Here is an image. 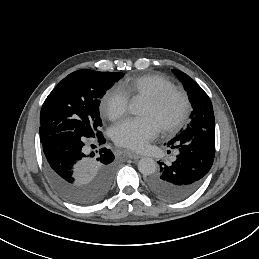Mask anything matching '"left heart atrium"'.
I'll list each match as a JSON object with an SVG mask.
<instances>
[{"instance_id": "1", "label": "left heart atrium", "mask_w": 259, "mask_h": 259, "mask_svg": "<svg viewBox=\"0 0 259 259\" xmlns=\"http://www.w3.org/2000/svg\"><path fill=\"white\" fill-rule=\"evenodd\" d=\"M160 131L161 126L153 117L127 118L114 124L110 134L116 144L142 150L157 138Z\"/></svg>"}]
</instances>
